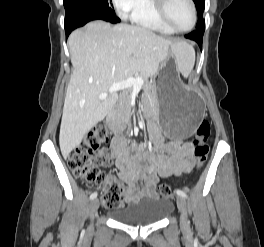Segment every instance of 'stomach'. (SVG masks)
<instances>
[{"mask_svg": "<svg viewBox=\"0 0 264 247\" xmlns=\"http://www.w3.org/2000/svg\"><path fill=\"white\" fill-rule=\"evenodd\" d=\"M163 61L174 62L175 58L164 57ZM155 93L162 131L169 136V141H185V136H194L196 126L204 117V94L186 90L183 82H179L176 63H163Z\"/></svg>", "mask_w": 264, "mask_h": 247, "instance_id": "1", "label": "stomach"}]
</instances>
